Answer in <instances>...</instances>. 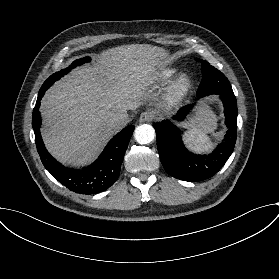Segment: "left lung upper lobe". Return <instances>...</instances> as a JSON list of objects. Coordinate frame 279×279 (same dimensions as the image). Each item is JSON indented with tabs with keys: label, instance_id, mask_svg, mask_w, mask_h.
<instances>
[{
	"label": "left lung upper lobe",
	"instance_id": "5c2ea615",
	"mask_svg": "<svg viewBox=\"0 0 279 279\" xmlns=\"http://www.w3.org/2000/svg\"><path fill=\"white\" fill-rule=\"evenodd\" d=\"M197 61L201 62V71L203 74L197 91L198 98H202L210 94L235 97L228 79L222 72L204 60L197 59Z\"/></svg>",
	"mask_w": 279,
	"mask_h": 279
}]
</instances>
